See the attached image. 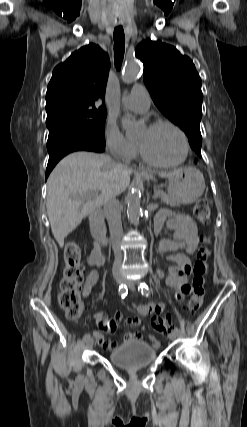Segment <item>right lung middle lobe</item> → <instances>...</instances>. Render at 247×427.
Masks as SVG:
<instances>
[{
    "label": "right lung middle lobe",
    "instance_id": "1",
    "mask_svg": "<svg viewBox=\"0 0 247 427\" xmlns=\"http://www.w3.org/2000/svg\"><path fill=\"white\" fill-rule=\"evenodd\" d=\"M107 116L105 106L64 107L47 114L49 131L65 129L82 134L105 145L104 129Z\"/></svg>",
    "mask_w": 247,
    "mask_h": 427
}]
</instances>
